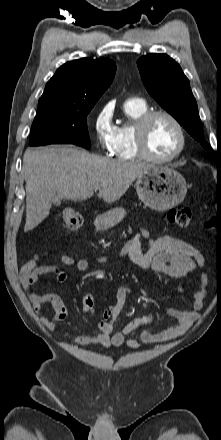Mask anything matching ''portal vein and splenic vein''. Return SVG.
Listing matches in <instances>:
<instances>
[{
    "instance_id": "18ae733b",
    "label": "portal vein and splenic vein",
    "mask_w": 221,
    "mask_h": 440,
    "mask_svg": "<svg viewBox=\"0 0 221 440\" xmlns=\"http://www.w3.org/2000/svg\"><path fill=\"white\" fill-rule=\"evenodd\" d=\"M99 189H100L99 186H95V187H94V190H95V191H97V190H99Z\"/></svg>"
}]
</instances>
